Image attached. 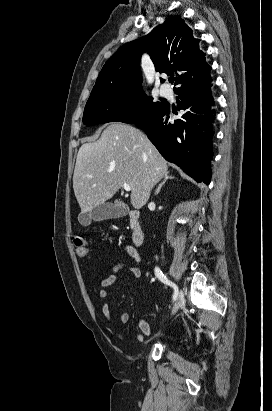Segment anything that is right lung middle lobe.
<instances>
[{"instance_id":"1","label":"right lung middle lobe","mask_w":272,"mask_h":411,"mask_svg":"<svg viewBox=\"0 0 272 411\" xmlns=\"http://www.w3.org/2000/svg\"><path fill=\"white\" fill-rule=\"evenodd\" d=\"M140 85H114L94 90L86 103L83 123L87 126L119 121L135 123L154 115L163 102H153Z\"/></svg>"}]
</instances>
